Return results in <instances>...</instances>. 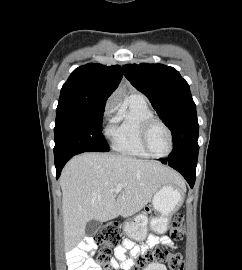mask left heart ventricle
Segmentation results:
<instances>
[{
  "instance_id": "b2bd125f",
  "label": "left heart ventricle",
  "mask_w": 242,
  "mask_h": 270,
  "mask_svg": "<svg viewBox=\"0 0 242 270\" xmlns=\"http://www.w3.org/2000/svg\"><path fill=\"white\" fill-rule=\"evenodd\" d=\"M150 149L156 155H164L169 150V136L167 131L159 124H154L148 135Z\"/></svg>"
}]
</instances>
